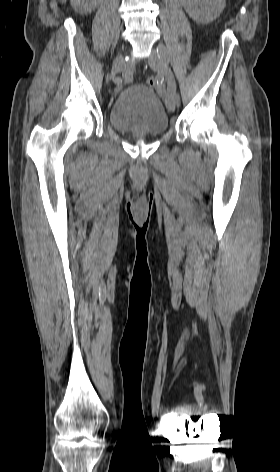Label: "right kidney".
I'll return each instance as SVG.
<instances>
[{"mask_svg": "<svg viewBox=\"0 0 280 472\" xmlns=\"http://www.w3.org/2000/svg\"><path fill=\"white\" fill-rule=\"evenodd\" d=\"M99 3L100 0H74L73 6L81 13L88 14L94 11Z\"/></svg>", "mask_w": 280, "mask_h": 472, "instance_id": "1", "label": "right kidney"}]
</instances>
